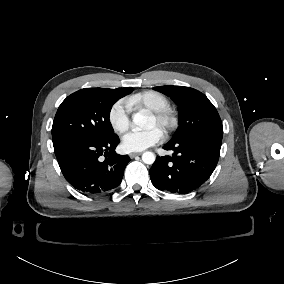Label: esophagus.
I'll return each mask as SVG.
<instances>
[{
	"instance_id": "1",
	"label": "esophagus",
	"mask_w": 284,
	"mask_h": 284,
	"mask_svg": "<svg viewBox=\"0 0 284 284\" xmlns=\"http://www.w3.org/2000/svg\"><path fill=\"white\" fill-rule=\"evenodd\" d=\"M140 154H141V152H132V153L129 154V156H130V158L133 159L135 156L140 155Z\"/></svg>"
}]
</instances>
